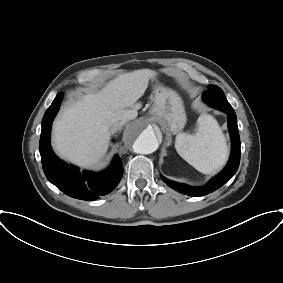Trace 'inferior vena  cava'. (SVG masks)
I'll list each match as a JSON object with an SVG mask.
<instances>
[{
	"mask_svg": "<svg viewBox=\"0 0 283 283\" xmlns=\"http://www.w3.org/2000/svg\"><path fill=\"white\" fill-rule=\"evenodd\" d=\"M123 124H124L123 122L114 123L110 128L111 132H116V131L120 130L122 128Z\"/></svg>",
	"mask_w": 283,
	"mask_h": 283,
	"instance_id": "1",
	"label": "inferior vena cava"
}]
</instances>
